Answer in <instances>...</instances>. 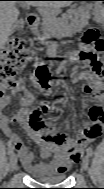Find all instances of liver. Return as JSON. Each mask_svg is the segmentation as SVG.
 Here are the masks:
<instances>
[{"label": "liver", "instance_id": "6515ba94", "mask_svg": "<svg viewBox=\"0 0 104 189\" xmlns=\"http://www.w3.org/2000/svg\"><path fill=\"white\" fill-rule=\"evenodd\" d=\"M15 1H1L0 3V45L1 48L6 44L8 37L13 33V25L17 21L19 11ZM32 6H45L52 8L66 7L71 1H30Z\"/></svg>", "mask_w": 104, "mask_h": 189}]
</instances>
